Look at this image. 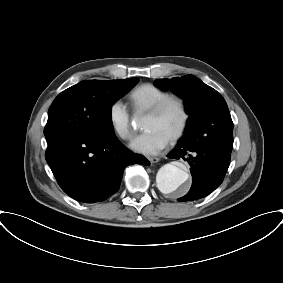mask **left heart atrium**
I'll use <instances>...</instances> for the list:
<instances>
[{"mask_svg": "<svg viewBox=\"0 0 283 283\" xmlns=\"http://www.w3.org/2000/svg\"><path fill=\"white\" fill-rule=\"evenodd\" d=\"M168 139L155 130H147L144 133L135 137L130 147L136 152L145 155H154L161 151L166 144Z\"/></svg>", "mask_w": 283, "mask_h": 283, "instance_id": "obj_1", "label": "left heart atrium"}]
</instances>
